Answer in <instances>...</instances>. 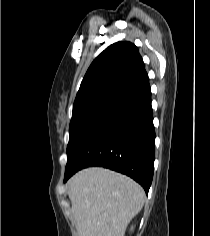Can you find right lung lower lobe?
I'll return each instance as SVG.
<instances>
[{
	"instance_id": "right-lung-lower-lobe-1",
	"label": "right lung lower lobe",
	"mask_w": 210,
	"mask_h": 236,
	"mask_svg": "<svg viewBox=\"0 0 210 236\" xmlns=\"http://www.w3.org/2000/svg\"><path fill=\"white\" fill-rule=\"evenodd\" d=\"M154 159L155 130L147 80L130 91L87 134L66 165L64 182L80 169L101 166L130 176L148 193Z\"/></svg>"
}]
</instances>
